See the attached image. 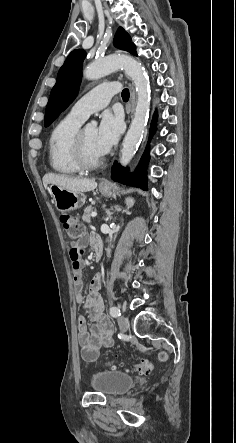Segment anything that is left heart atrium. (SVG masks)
Listing matches in <instances>:
<instances>
[{
	"label": "left heart atrium",
	"instance_id": "1",
	"mask_svg": "<svg viewBox=\"0 0 236 443\" xmlns=\"http://www.w3.org/2000/svg\"><path fill=\"white\" fill-rule=\"evenodd\" d=\"M122 129L123 122L120 116L111 112L103 113L96 130V145L101 155L106 154L116 144Z\"/></svg>",
	"mask_w": 236,
	"mask_h": 443
}]
</instances>
